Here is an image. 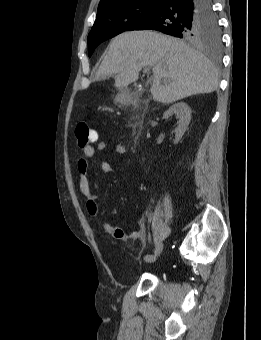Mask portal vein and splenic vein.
<instances>
[{
  "mask_svg": "<svg viewBox=\"0 0 261 340\" xmlns=\"http://www.w3.org/2000/svg\"><path fill=\"white\" fill-rule=\"evenodd\" d=\"M149 69H150L149 67H146L144 70H145V71H149Z\"/></svg>",
  "mask_w": 261,
  "mask_h": 340,
  "instance_id": "portal-vein-and-splenic-vein-1",
  "label": "portal vein and splenic vein"
}]
</instances>
